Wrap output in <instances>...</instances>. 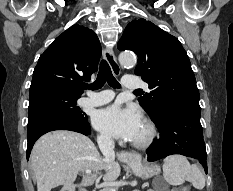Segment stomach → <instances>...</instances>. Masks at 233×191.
<instances>
[{
  "label": "stomach",
  "mask_w": 233,
  "mask_h": 191,
  "mask_svg": "<svg viewBox=\"0 0 233 191\" xmlns=\"http://www.w3.org/2000/svg\"><path fill=\"white\" fill-rule=\"evenodd\" d=\"M133 173L140 178L147 179L157 176L160 173V167L157 165H145L140 161L129 163Z\"/></svg>",
  "instance_id": "obj_1"
}]
</instances>
